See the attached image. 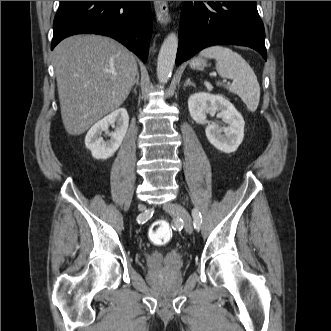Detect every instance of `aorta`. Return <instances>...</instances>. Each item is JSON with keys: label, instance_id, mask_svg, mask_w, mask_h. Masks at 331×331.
Instances as JSON below:
<instances>
[{"label": "aorta", "instance_id": "1", "mask_svg": "<svg viewBox=\"0 0 331 331\" xmlns=\"http://www.w3.org/2000/svg\"><path fill=\"white\" fill-rule=\"evenodd\" d=\"M178 48V37L175 33L169 34L159 51L157 60V78L160 83H166L172 74Z\"/></svg>", "mask_w": 331, "mask_h": 331}]
</instances>
